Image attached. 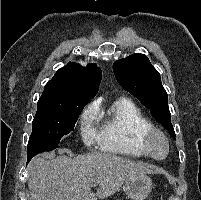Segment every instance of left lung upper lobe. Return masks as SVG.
Listing matches in <instances>:
<instances>
[{
  "label": "left lung upper lobe",
  "mask_w": 201,
  "mask_h": 200,
  "mask_svg": "<svg viewBox=\"0 0 201 200\" xmlns=\"http://www.w3.org/2000/svg\"><path fill=\"white\" fill-rule=\"evenodd\" d=\"M113 71L118 83L150 109L155 120L175 139L167 104L168 95L162 86L160 74L147 56L137 53L117 60L113 64Z\"/></svg>",
  "instance_id": "left-lung-upper-lobe-1"
}]
</instances>
